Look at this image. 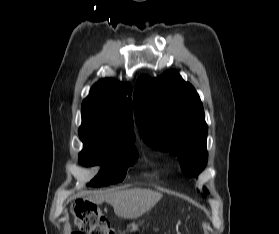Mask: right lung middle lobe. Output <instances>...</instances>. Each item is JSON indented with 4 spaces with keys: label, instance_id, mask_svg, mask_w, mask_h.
<instances>
[{
    "label": "right lung middle lobe",
    "instance_id": "obj_1",
    "mask_svg": "<svg viewBox=\"0 0 279 234\" xmlns=\"http://www.w3.org/2000/svg\"><path fill=\"white\" fill-rule=\"evenodd\" d=\"M79 136L84 144V149L79 153L80 163L84 166H102L89 186L102 187L121 182L127 168L138 158L134 141H99L84 135L80 130Z\"/></svg>",
    "mask_w": 279,
    "mask_h": 234
}]
</instances>
